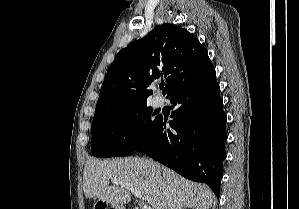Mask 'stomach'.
<instances>
[{
    "mask_svg": "<svg viewBox=\"0 0 299 209\" xmlns=\"http://www.w3.org/2000/svg\"><path fill=\"white\" fill-rule=\"evenodd\" d=\"M94 209H110V203L102 200H98L94 204ZM115 209H123L122 207H116Z\"/></svg>",
    "mask_w": 299,
    "mask_h": 209,
    "instance_id": "0dacf381",
    "label": "stomach"
}]
</instances>
